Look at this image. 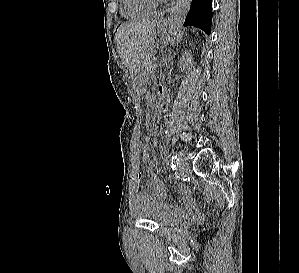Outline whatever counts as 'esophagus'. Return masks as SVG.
<instances>
[{
	"label": "esophagus",
	"mask_w": 299,
	"mask_h": 273,
	"mask_svg": "<svg viewBox=\"0 0 299 273\" xmlns=\"http://www.w3.org/2000/svg\"><path fill=\"white\" fill-rule=\"evenodd\" d=\"M159 22H160V23H165V22H166V19H165V18H161V19L159 20Z\"/></svg>",
	"instance_id": "34e87169"
}]
</instances>
